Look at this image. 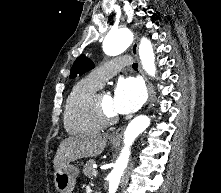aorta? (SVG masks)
Returning a JSON list of instances; mask_svg holds the SVG:
<instances>
[{"label":"aorta","instance_id":"762f6f07","mask_svg":"<svg viewBox=\"0 0 221 193\" xmlns=\"http://www.w3.org/2000/svg\"><path fill=\"white\" fill-rule=\"evenodd\" d=\"M133 35L126 28L113 30L107 34L103 42V50L107 55H118L124 52L132 43ZM139 57L143 69L152 77L155 76V55L151 42L142 38L139 45ZM150 125V118L146 115L135 117L124 132V147L112 171L108 175V193H116L121 177L127 167L130 156V146L140 133Z\"/></svg>","mask_w":221,"mask_h":193}]
</instances>
